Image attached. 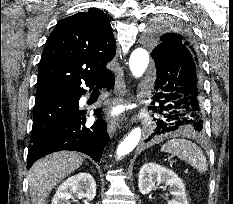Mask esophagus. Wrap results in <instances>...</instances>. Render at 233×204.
<instances>
[{
  "label": "esophagus",
  "mask_w": 233,
  "mask_h": 204,
  "mask_svg": "<svg viewBox=\"0 0 233 204\" xmlns=\"http://www.w3.org/2000/svg\"><path fill=\"white\" fill-rule=\"evenodd\" d=\"M114 93H115L114 102L115 103L123 102L124 97L126 96V93H127L123 71H121L116 76V84H115ZM118 127H119V119L118 118H111L108 122V134L111 138L115 134Z\"/></svg>",
  "instance_id": "34e87169"
}]
</instances>
